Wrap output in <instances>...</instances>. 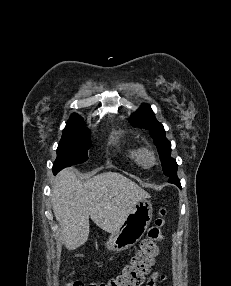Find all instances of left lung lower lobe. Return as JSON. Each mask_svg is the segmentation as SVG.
Here are the masks:
<instances>
[{
  "mask_svg": "<svg viewBox=\"0 0 231 286\" xmlns=\"http://www.w3.org/2000/svg\"><path fill=\"white\" fill-rule=\"evenodd\" d=\"M169 182L176 184L178 187H181L180 181H179V179L177 178V174L171 176V177L169 178Z\"/></svg>",
  "mask_w": 231,
  "mask_h": 286,
  "instance_id": "left-lung-lower-lobe-1",
  "label": "left lung lower lobe"
}]
</instances>
